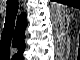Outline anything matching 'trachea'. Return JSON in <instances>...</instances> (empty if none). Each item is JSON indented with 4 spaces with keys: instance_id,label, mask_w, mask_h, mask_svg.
Returning a JSON list of instances; mask_svg holds the SVG:
<instances>
[{
    "instance_id": "obj_1",
    "label": "trachea",
    "mask_w": 80,
    "mask_h": 60,
    "mask_svg": "<svg viewBox=\"0 0 80 60\" xmlns=\"http://www.w3.org/2000/svg\"><path fill=\"white\" fill-rule=\"evenodd\" d=\"M19 8L18 0H7L6 19L1 36L0 52L3 55L9 54L10 44L15 26V20Z\"/></svg>"
}]
</instances>
